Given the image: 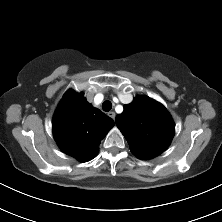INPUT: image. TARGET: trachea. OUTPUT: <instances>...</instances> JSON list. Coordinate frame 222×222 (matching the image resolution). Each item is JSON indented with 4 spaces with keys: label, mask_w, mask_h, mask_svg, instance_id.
Segmentation results:
<instances>
[{
    "label": "trachea",
    "mask_w": 222,
    "mask_h": 222,
    "mask_svg": "<svg viewBox=\"0 0 222 222\" xmlns=\"http://www.w3.org/2000/svg\"><path fill=\"white\" fill-rule=\"evenodd\" d=\"M112 108V103L109 101V100H106L103 102L102 104V109L105 111V112H108L110 111Z\"/></svg>",
    "instance_id": "trachea-1"
}]
</instances>
